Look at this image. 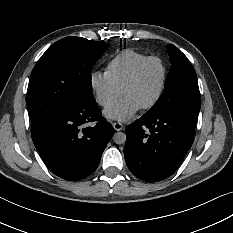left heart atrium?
<instances>
[{"instance_id":"1","label":"left heart atrium","mask_w":233,"mask_h":233,"mask_svg":"<svg viewBox=\"0 0 233 233\" xmlns=\"http://www.w3.org/2000/svg\"><path fill=\"white\" fill-rule=\"evenodd\" d=\"M141 105L133 98L124 96L114 106L103 111V116L108 120L126 122L131 119L139 110Z\"/></svg>"}]
</instances>
